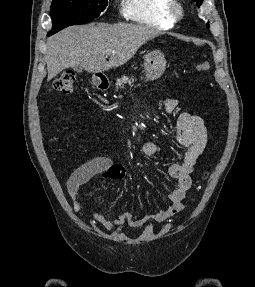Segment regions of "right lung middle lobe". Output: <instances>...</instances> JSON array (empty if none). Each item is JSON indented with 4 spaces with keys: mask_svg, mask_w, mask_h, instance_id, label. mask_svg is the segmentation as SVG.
<instances>
[{
    "mask_svg": "<svg viewBox=\"0 0 255 287\" xmlns=\"http://www.w3.org/2000/svg\"><path fill=\"white\" fill-rule=\"evenodd\" d=\"M108 0H53L50 7L53 27L52 35L71 25L92 21L103 12Z\"/></svg>",
    "mask_w": 255,
    "mask_h": 287,
    "instance_id": "obj_1",
    "label": "right lung middle lobe"
}]
</instances>
